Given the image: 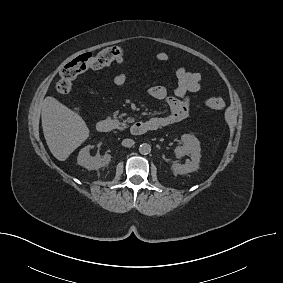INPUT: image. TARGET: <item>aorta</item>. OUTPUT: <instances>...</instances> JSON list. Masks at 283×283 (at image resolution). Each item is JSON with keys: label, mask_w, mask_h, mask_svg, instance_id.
I'll return each mask as SVG.
<instances>
[{"label": "aorta", "mask_w": 283, "mask_h": 283, "mask_svg": "<svg viewBox=\"0 0 283 283\" xmlns=\"http://www.w3.org/2000/svg\"><path fill=\"white\" fill-rule=\"evenodd\" d=\"M151 151V146L148 144V143H142L140 146H139V152L142 154V155H147L149 154Z\"/></svg>", "instance_id": "1"}]
</instances>
